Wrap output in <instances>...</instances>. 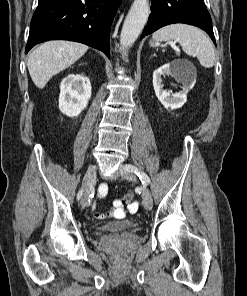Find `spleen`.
Segmentation results:
<instances>
[{"label":"spleen","mask_w":247,"mask_h":296,"mask_svg":"<svg viewBox=\"0 0 247 296\" xmlns=\"http://www.w3.org/2000/svg\"><path fill=\"white\" fill-rule=\"evenodd\" d=\"M155 41L176 40L188 55L197 56L205 68L213 67L215 52L211 41L197 27L186 24H171L157 30L152 35Z\"/></svg>","instance_id":"3e777b00"}]
</instances>
